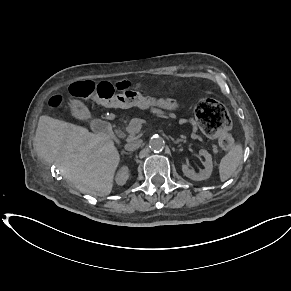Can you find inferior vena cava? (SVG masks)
I'll use <instances>...</instances> for the list:
<instances>
[{"instance_id": "inferior-vena-cava-1", "label": "inferior vena cava", "mask_w": 291, "mask_h": 291, "mask_svg": "<svg viewBox=\"0 0 291 291\" xmlns=\"http://www.w3.org/2000/svg\"><path fill=\"white\" fill-rule=\"evenodd\" d=\"M142 145V140H135L130 143H127L124 148L127 151H134Z\"/></svg>"}]
</instances>
